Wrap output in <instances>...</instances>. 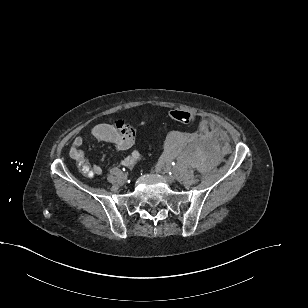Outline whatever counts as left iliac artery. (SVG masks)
Masks as SVG:
<instances>
[{
	"label": "left iliac artery",
	"mask_w": 308,
	"mask_h": 308,
	"mask_svg": "<svg viewBox=\"0 0 308 308\" xmlns=\"http://www.w3.org/2000/svg\"><path fill=\"white\" fill-rule=\"evenodd\" d=\"M172 166H175L174 162H172ZM168 173H169V175H172L171 171H169Z\"/></svg>",
	"instance_id": "obj_1"
}]
</instances>
